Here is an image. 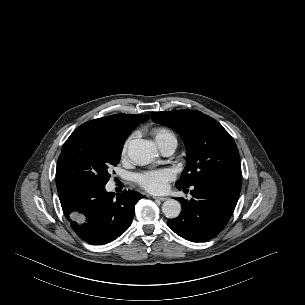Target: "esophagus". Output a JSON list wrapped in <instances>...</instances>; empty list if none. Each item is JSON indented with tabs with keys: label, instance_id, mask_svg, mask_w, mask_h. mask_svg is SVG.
Returning <instances> with one entry per match:
<instances>
[{
	"label": "esophagus",
	"instance_id": "obj_1",
	"mask_svg": "<svg viewBox=\"0 0 305 305\" xmlns=\"http://www.w3.org/2000/svg\"><path fill=\"white\" fill-rule=\"evenodd\" d=\"M155 200H159V201H166L168 198L167 197H161V196H155L153 197Z\"/></svg>",
	"mask_w": 305,
	"mask_h": 305
}]
</instances>
